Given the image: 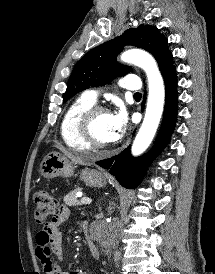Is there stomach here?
<instances>
[{
	"label": "stomach",
	"instance_id": "0dacf381",
	"mask_svg": "<svg viewBox=\"0 0 215 274\" xmlns=\"http://www.w3.org/2000/svg\"><path fill=\"white\" fill-rule=\"evenodd\" d=\"M75 168L76 166L68 157L58 152H51L43 159L40 170L44 178L52 179L57 176L71 177L74 175ZM80 179L93 187H103L108 182L105 173L89 168L81 171Z\"/></svg>",
	"mask_w": 215,
	"mask_h": 274
}]
</instances>
